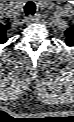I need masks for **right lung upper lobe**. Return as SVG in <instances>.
<instances>
[{
  "label": "right lung upper lobe",
  "mask_w": 74,
  "mask_h": 122,
  "mask_svg": "<svg viewBox=\"0 0 74 122\" xmlns=\"http://www.w3.org/2000/svg\"><path fill=\"white\" fill-rule=\"evenodd\" d=\"M7 41L6 38V27L0 26V44H3Z\"/></svg>",
  "instance_id": "obj_1"
}]
</instances>
